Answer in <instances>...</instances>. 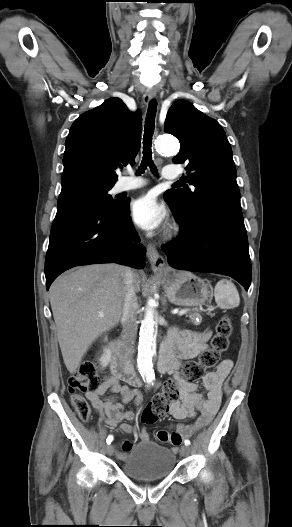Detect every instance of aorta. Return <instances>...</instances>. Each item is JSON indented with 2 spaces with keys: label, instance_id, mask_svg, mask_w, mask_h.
<instances>
[{
  "label": "aorta",
  "instance_id": "762f6f07",
  "mask_svg": "<svg viewBox=\"0 0 292 527\" xmlns=\"http://www.w3.org/2000/svg\"><path fill=\"white\" fill-rule=\"evenodd\" d=\"M155 147L158 152L163 154H175L179 151V143L172 136H161L157 138ZM153 305L154 300L149 299L140 328L137 356L138 370L143 379L149 384L155 380L153 360L156 355L157 323L155 321Z\"/></svg>",
  "mask_w": 292,
  "mask_h": 527
}]
</instances>
